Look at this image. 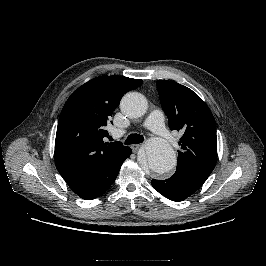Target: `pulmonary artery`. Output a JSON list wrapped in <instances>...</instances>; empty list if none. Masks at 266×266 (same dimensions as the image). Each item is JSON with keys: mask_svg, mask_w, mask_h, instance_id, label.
Returning a JSON list of instances; mask_svg holds the SVG:
<instances>
[{"mask_svg": "<svg viewBox=\"0 0 266 266\" xmlns=\"http://www.w3.org/2000/svg\"><path fill=\"white\" fill-rule=\"evenodd\" d=\"M144 127L151 130L164 140L171 141V136L164 127V116L160 110H154L148 115Z\"/></svg>", "mask_w": 266, "mask_h": 266, "instance_id": "pulmonary-artery-1", "label": "pulmonary artery"}]
</instances>
